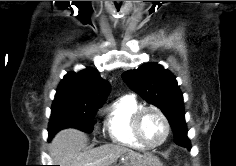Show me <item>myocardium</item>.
<instances>
[{"mask_svg":"<svg viewBox=\"0 0 236 166\" xmlns=\"http://www.w3.org/2000/svg\"><path fill=\"white\" fill-rule=\"evenodd\" d=\"M149 111H153L156 114H158V116L162 119V121L164 123V127H165L164 137L162 138V140L160 142H158L156 144H150V143L146 142L141 134V120H142L144 114ZM132 130H133V134H134L135 138L144 148L155 149V148L160 147L161 145H163L167 141L169 134H170V123H169V120H168L167 116L165 115V113L159 107L145 106V107H141L133 115Z\"/></svg>","mask_w":236,"mask_h":166,"instance_id":"myocardium-1","label":"myocardium"}]
</instances>
